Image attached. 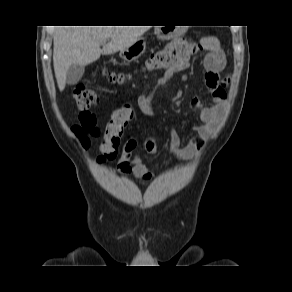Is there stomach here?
I'll use <instances>...</instances> for the list:
<instances>
[{
  "instance_id": "obj_1",
  "label": "stomach",
  "mask_w": 292,
  "mask_h": 292,
  "mask_svg": "<svg viewBox=\"0 0 292 292\" xmlns=\"http://www.w3.org/2000/svg\"><path fill=\"white\" fill-rule=\"evenodd\" d=\"M155 34L160 39H170L176 35V31L171 27L157 26L155 27ZM146 49V41L140 37L133 45L120 51V57L126 61L131 62L138 59Z\"/></svg>"
}]
</instances>
